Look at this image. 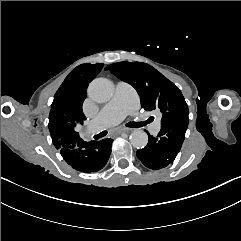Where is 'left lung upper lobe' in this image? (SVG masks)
<instances>
[{
  "instance_id": "1",
  "label": "left lung upper lobe",
  "mask_w": 241,
  "mask_h": 241,
  "mask_svg": "<svg viewBox=\"0 0 241 241\" xmlns=\"http://www.w3.org/2000/svg\"><path fill=\"white\" fill-rule=\"evenodd\" d=\"M107 69L137 90L145 110L162 112L161 125L188 124V105L181 91L154 67L142 62H118Z\"/></svg>"
}]
</instances>
